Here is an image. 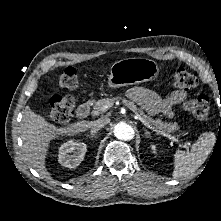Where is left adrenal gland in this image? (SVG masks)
Here are the masks:
<instances>
[{"instance_id":"a2214340","label":"left adrenal gland","mask_w":221,"mask_h":221,"mask_svg":"<svg viewBox=\"0 0 221 221\" xmlns=\"http://www.w3.org/2000/svg\"><path fill=\"white\" fill-rule=\"evenodd\" d=\"M145 134H146V135H150V132H148L147 130H145Z\"/></svg>"}]
</instances>
